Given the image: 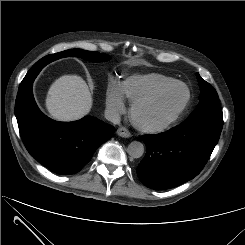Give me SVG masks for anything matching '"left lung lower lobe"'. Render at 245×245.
<instances>
[{
  "label": "left lung lower lobe",
  "mask_w": 245,
  "mask_h": 245,
  "mask_svg": "<svg viewBox=\"0 0 245 245\" xmlns=\"http://www.w3.org/2000/svg\"><path fill=\"white\" fill-rule=\"evenodd\" d=\"M221 131V126L192 122L142 136L147 149L137 167L140 181L149 188L163 190L193 179L207 163Z\"/></svg>",
  "instance_id": "obj_1"
}]
</instances>
